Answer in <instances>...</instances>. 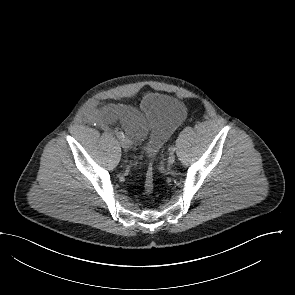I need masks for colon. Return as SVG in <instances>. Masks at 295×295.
Returning a JSON list of instances; mask_svg holds the SVG:
<instances>
[{"label": "colon", "mask_w": 295, "mask_h": 295, "mask_svg": "<svg viewBox=\"0 0 295 295\" xmlns=\"http://www.w3.org/2000/svg\"><path fill=\"white\" fill-rule=\"evenodd\" d=\"M154 172L153 168L150 165L147 168L146 174H145V180H144V190L147 194H151L154 190Z\"/></svg>", "instance_id": "obj_1"}]
</instances>
